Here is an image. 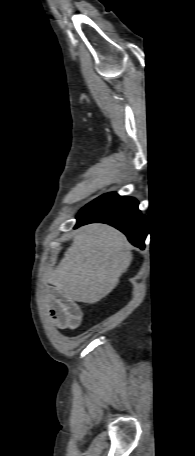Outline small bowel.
Returning <instances> with one entry per match:
<instances>
[{"label":"small bowel","instance_id":"obj_1","mask_svg":"<svg viewBox=\"0 0 195 456\" xmlns=\"http://www.w3.org/2000/svg\"><path fill=\"white\" fill-rule=\"evenodd\" d=\"M48 310L52 322L59 328H75L81 321L79 306L55 290L48 302Z\"/></svg>","mask_w":195,"mask_h":456}]
</instances>
